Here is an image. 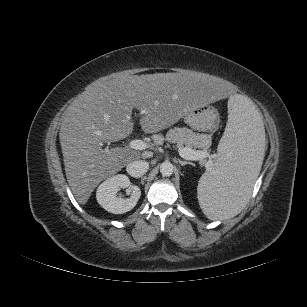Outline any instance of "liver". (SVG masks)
Wrapping results in <instances>:
<instances>
[{"label":"liver","mask_w":307,"mask_h":307,"mask_svg":"<svg viewBox=\"0 0 307 307\" xmlns=\"http://www.w3.org/2000/svg\"><path fill=\"white\" fill-rule=\"evenodd\" d=\"M229 95L223 85L188 71L120 76L88 85L65 111L59 133L66 178L76 200L86 204L102 180L140 159L136 150L102 148L132 133L134 108L140 111L142 130L157 133L192 109Z\"/></svg>","instance_id":"6515ba94"}]
</instances>
